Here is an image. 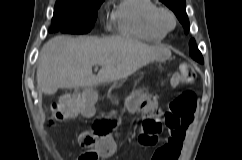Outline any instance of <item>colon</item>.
Returning a JSON list of instances; mask_svg holds the SVG:
<instances>
[{
    "label": "colon",
    "mask_w": 242,
    "mask_h": 160,
    "mask_svg": "<svg viewBox=\"0 0 242 160\" xmlns=\"http://www.w3.org/2000/svg\"><path fill=\"white\" fill-rule=\"evenodd\" d=\"M196 79V71L192 64L183 63L179 66L177 73L174 75L172 83L191 84ZM131 101L139 103L140 109L144 114V122L140 142L142 144H155L157 134L160 132L162 125L158 118L160 110L153 98L148 97L143 89L136 90L131 96ZM95 96L92 93L66 95L52 106L49 123L54 125L58 122H64L76 118L79 114L89 112L93 108ZM196 106L195 93L191 90L182 92L171 103L170 110L166 113V125L168 128L178 129L187 127L193 118V111ZM117 124V118L113 115H107L99 118L92 129V132H86L83 136V143L93 144L99 136L110 131ZM180 131L173 132V136L179 138ZM95 152L86 153L82 160H97Z\"/></svg>",
    "instance_id": "obj_1"
}]
</instances>
